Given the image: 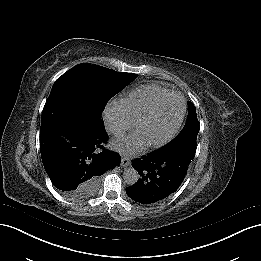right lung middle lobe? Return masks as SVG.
<instances>
[{
    "label": "right lung middle lobe",
    "mask_w": 261,
    "mask_h": 261,
    "mask_svg": "<svg viewBox=\"0 0 261 261\" xmlns=\"http://www.w3.org/2000/svg\"><path fill=\"white\" fill-rule=\"evenodd\" d=\"M136 74L117 72L102 66L83 63L76 65L54 83L50 98L76 102L101 114L110 98L123 90ZM98 182L84 186L78 193L96 189Z\"/></svg>",
    "instance_id": "obj_1"
}]
</instances>
